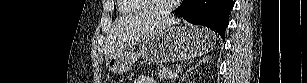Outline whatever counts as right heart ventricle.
I'll use <instances>...</instances> for the list:
<instances>
[{"label":"right heart ventricle","instance_id":"obj_1","mask_svg":"<svg viewBox=\"0 0 307 83\" xmlns=\"http://www.w3.org/2000/svg\"><path fill=\"white\" fill-rule=\"evenodd\" d=\"M118 10L121 14H132L146 10L138 0H119Z\"/></svg>","mask_w":307,"mask_h":83}]
</instances>
